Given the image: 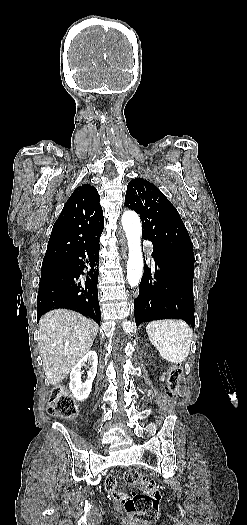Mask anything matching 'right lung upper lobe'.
Returning a JSON list of instances; mask_svg holds the SVG:
<instances>
[{
    "label": "right lung upper lobe",
    "instance_id": "1",
    "mask_svg": "<svg viewBox=\"0 0 247 525\" xmlns=\"http://www.w3.org/2000/svg\"><path fill=\"white\" fill-rule=\"evenodd\" d=\"M99 202L94 186L84 184L75 189L53 225L43 264L51 257L66 256L101 235L104 217Z\"/></svg>",
    "mask_w": 247,
    "mask_h": 525
}]
</instances>
